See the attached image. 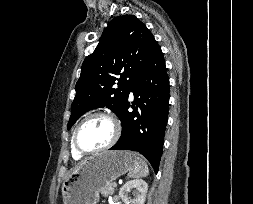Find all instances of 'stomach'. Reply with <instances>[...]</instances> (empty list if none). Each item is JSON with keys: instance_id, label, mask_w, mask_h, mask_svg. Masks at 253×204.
<instances>
[{"instance_id": "1", "label": "stomach", "mask_w": 253, "mask_h": 204, "mask_svg": "<svg viewBox=\"0 0 253 204\" xmlns=\"http://www.w3.org/2000/svg\"><path fill=\"white\" fill-rule=\"evenodd\" d=\"M135 160L136 155L127 151H106L87 158L63 182V204H97L100 191L131 172Z\"/></svg>"}]
</instances>
